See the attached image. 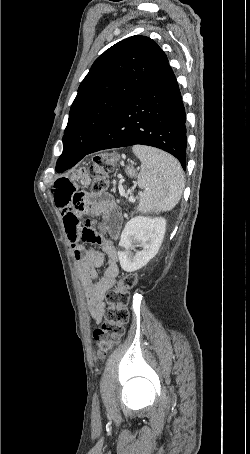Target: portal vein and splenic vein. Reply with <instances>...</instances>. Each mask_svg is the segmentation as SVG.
I'll return each instance as SVG.
<instances>
[{"label": "portal vein and splenic vein", "mask_w": 250, "mask_h": 454, "mask_svg": "<svg viewBox=\"0 0 250 454\" xmlns=\"http://www.w3.org/2000/svg\"><path fill=\"white\" fill-rule=\"evenodd\" d=\"M124 197H128L126 194H123ZM129 202H135L134 196L130 195L128 198Z\"/></svg>", "instance_id": "1"}]
</instances>
